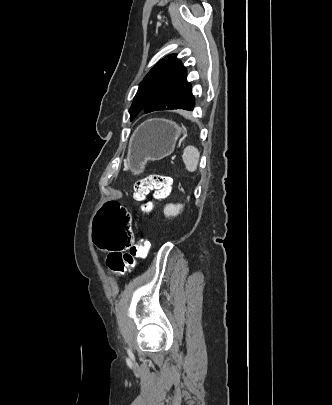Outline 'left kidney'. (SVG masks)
I'll list each match as a JSON object with an SVG mask.
<instances>
[{"label": "left kidney", "mask_w": 332, "mask_h": 405, "mask_svg": "<svg viewBox=\"0 0 332 405\" xmlns=\"http://www.w3.org/2000/svg\"><path fill=\"white\" fill-rule=\"evenodd\" d=\"M183 209L182 204H167L164 208V214L166 217L177 216Z\"/></svg>", "instance_id": "left-kidney-1"}]
</instances>
